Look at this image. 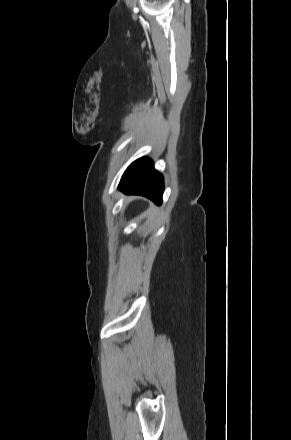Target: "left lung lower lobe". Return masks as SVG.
<instances>
[{"label":"left lung lower lobe","mask_w":291,"mask_h":440,"mask_svg":"<svg viewBox=\"0 0 291 440\" xmlns=\"http://www.w3.org/2000/svg\"><path fill=\"white\" fill-rule=\"evenodd\" d=\"M118 188L127 194L146 196L156 204L162 203V175L158 174L153 162L146 157L137 159L127 168Z\"/></svg>","instance_id":"left-lung-lower-lobe-1"}]
</instances>
